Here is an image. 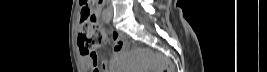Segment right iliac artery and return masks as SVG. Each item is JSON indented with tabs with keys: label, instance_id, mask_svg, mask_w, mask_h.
Returning a JSON list of instances; mask_svg holds the SVG:
<instances>
[{
	"label": "right iliac artery",
	"instance_id": "1",
	"mask_svg": "<svg viewBox=\"0 0 267 72\" xmlns=\"http://www.w3.org/2000/svg\"><path fill=\"white\" fill-rule=\"evenodd\" d=\"M102 16H103L104 21H105L106 23H109V21H110V13H109V11H108L107 9H105V10L103 11Z\"/></svg>",
	"mask_w": 267,
	"mask_h": 72
}]
</instances>
